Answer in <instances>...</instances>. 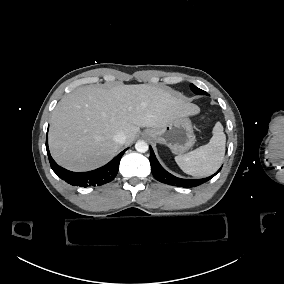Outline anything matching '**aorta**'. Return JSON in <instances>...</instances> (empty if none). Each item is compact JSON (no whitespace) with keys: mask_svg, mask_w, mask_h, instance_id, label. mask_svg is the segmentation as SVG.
Here are the masks:
<instances>
[{"mask_svg":"<svg viewBox=\"0 0 284 284\" xmlns=\"http://www.w3.org/2000/svg\"><path fill=\"white\" fill-rule=\"evenodd\" d=\"M148 144L145 141H137L135 144V149L140 153H145L148 151Z\"/></svg>","mask_w":284,"mask_h":284,"instance_id":"aorta-1","label":"aorta"}]
</instances>
